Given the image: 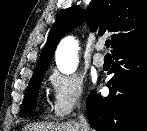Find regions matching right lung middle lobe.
I'll return each instance as SVG.
<instances>
[{
    "label": "right lung middle lobe",
    "instance_id": "1",
    "mask_svg": "<svg viewBox=\"0 0 147 131\" xmlns=\"http://www.w3.org/2000/svg\"><path fill=\"white\" fill-rule=\"evenodd\" d=\"M45 72L46 71H42L32 76L23 100L22 113H28L35 108L36 98Z\"/></svg>",
    "mask_w": 147,
    "mask_h": 131
}]
</instances>
